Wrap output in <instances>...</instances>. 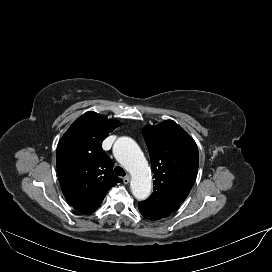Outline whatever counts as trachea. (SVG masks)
Instances as JSON below:
<instances>
[{
    "label": "trachea",
    "mask_w": 272,
    "mask_h": 272,
    "mask_svg": "<svg viewBox=\"0 0 272 272\" xmlns=\"http://www.w3.org/2000/svg\"><path fill=\"white\" fill-rule=\"evenodd\" d=\"M114 173L117 175V176H125L126 173L124 171V169L120 166H117L115 169H114Z\"/></svg>",
    "instance_id": "1"
}]
</instances>
